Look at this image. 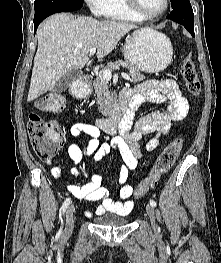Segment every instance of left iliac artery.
I'll return each mask as SVG.
<instances>
[{"instance_id":"left-iliac-artery-1","label":"left iliac artery","mask_w":221,"mask_h":263,"mask_svg":"<svg viewBox=\"0 0 221 263\" xmlns=\"http://www.w3.org/2000/svg\"><path fill=\"white\" fill-rule=\"evenodd\" d=\"M150 205L155 207L156 206V202L154 200H150Z\"/></svg>"}]
</instances>
